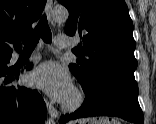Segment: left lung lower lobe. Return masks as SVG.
<instances>
[{
	"instance_id": "left-lung-lower-lobe-1",
	"label": "left lung lower lobe",
	"mask_w": 156,
	"mask_h": 124,
	"mask_svg": "<svg viewBox=\"0 0 156 124\" xmlns=\"http://www.w3.org/2000/svg\"><path fill=\"white\" fill-rule=\"evenodd\" d=\"M85 93L82 106L70 115H63L60 123L91 116H116L135 124H143L138 102V86L120 78L104 79Z\"/></svg>"
}]
</instances>
